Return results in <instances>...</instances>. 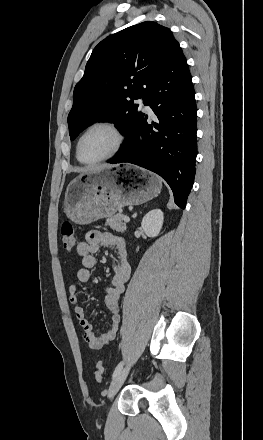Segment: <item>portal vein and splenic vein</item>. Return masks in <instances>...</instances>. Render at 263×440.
Instances as JSON below:
<instances>
[{
	"label": "portal vein and splenic vein",
	"mask_w": 263,
	"mask_h": 440,
	"mask_svg": "<svg viewBox=\"0 0 263 440\" xmlns=\"http://www.w3.org/2000/svg\"><path fill=\"white\" fill-rule=\"evenodd\" d=\"M123 221L126 222V223H128V222L130 221V218H129L128 216H124V217H123Z\"/></svg>",
	"instance_id": "obj_1"
}]
</instances>
